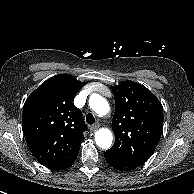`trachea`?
I'll return each instance as SVG.
<instances>
[{"label": "trachea", "mask_w": 194, "mask_h": 194, "mask_svg": "<svg viewBox=\"0 0 194 194\" xmlns=\"http://www.w3.org/2000/svg\"><path fill=\"white\" fill-rule=\"evenodd\" d=\"M86 122H87L88 124H90V125H92V124L95 123V118H94L93 114L88 113V114L86 115Z\"/></svg>", "instance_id": "obj_1"}]
</instances>
